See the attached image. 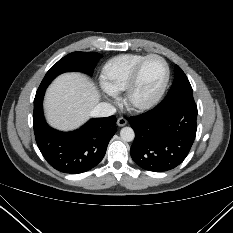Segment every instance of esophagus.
<instances>
[{
    "label": "esophagus",
    "instance_id": "1",
    "mask_svg": "<svg viewBox=\"0 0 233 233\" xmlns=\"http://www.w3.org/2000/svg\"><path fill=\"white\" fill-rule=\"evenodd\" d=\"M126 124H127V120L125 118H123V117L118 118V120H117L118 126L122 127V126H125Z\"/></svg>",
    "mask_w": 233,
    "mask_h": 233
}]
</instances>
